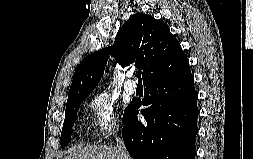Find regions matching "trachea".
<instances>
[{"instance_id":"3493384b","label":"trachea","mask_w":253,"mask_h":159,"mask_svg":"<svg viewBox=\"0 0 253 159\" xmlns=\"http://www.w3.org/2000/svg\"><path fill=\"white\" fill-rule=\"evenodd\" d=\"M135 76L138 78V82H142L140 70L136 72Z\"/></svg>"}]
</instances>
